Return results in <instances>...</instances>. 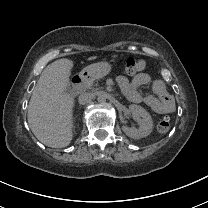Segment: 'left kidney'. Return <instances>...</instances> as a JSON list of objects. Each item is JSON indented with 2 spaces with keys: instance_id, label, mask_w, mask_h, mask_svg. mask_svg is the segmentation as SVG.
Segmentation results:
<instances>
[{
  "instance_id": "left-kidney-1",
  "label": "left kidney",
  "mask_w": 208,
  "mask_h": 208,
  "mask_svg": "<svg viewBox=\"0 0 208 208\" xmlns=\"http://www.w3.org/2000/svg\"><path fill=\"white\" fill-rule=\"evenodd\" d=\"M129 111L132 113L140 127L136 129L123 126L122 130L124 133L133 139H140L148 136L153 128V121L150 114L143 107L135 104L129 106Z\"/></svg>"
}]
</instances>
